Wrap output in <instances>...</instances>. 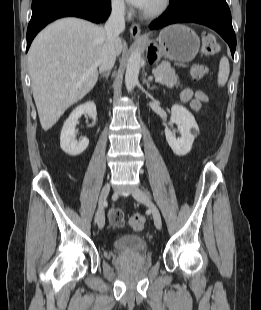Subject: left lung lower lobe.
I'll use <instances>...</instances> for the list:
<instances>
[{"mask_svg": "<svg viewBox=\"0 0 261 310\" xmlns=\"http://www.w3.org/2000/svg\"><path fill=\"white\" fill-rule=\"evenodd\" d=\"M181 22L198 23L214 29L228 43L234 56L236 36L226 0H170L167 11L153 21L150 28L159 29Z\"/></svg>", "mask_w": 261, "mask_h": 310, "instance_id": "left-lung-lower-lobe-1", "label": "left lung lower lobe"}]
</instances>
